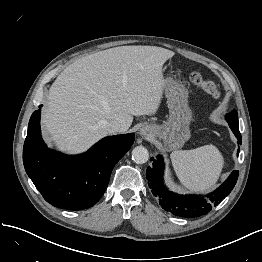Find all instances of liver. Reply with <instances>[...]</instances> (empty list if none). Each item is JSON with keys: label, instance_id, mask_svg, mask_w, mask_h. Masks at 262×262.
Segmentation results:
<instances>
[{"label": "liver", "instance_id": "liver-1", "mask_svg": "<svg viewBox=\"0 0 262 262\" xmlns=\"http://www.w3.org/2000/svg\"><path fill=\"white\" fill-rule=\"evenodd\" d=\"M174 52L156 46H120L80 58L49 89L42 124L54 144L81 152L105 137V124L127 127L133 116L157 111L164 89L163 64Z\"/></svg>", "mask_w": 262, "mask_h": 262}]
</instances>
